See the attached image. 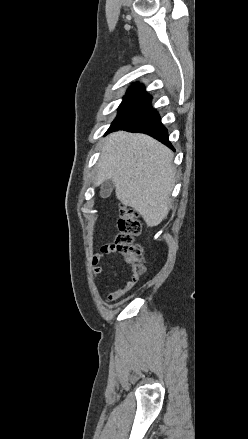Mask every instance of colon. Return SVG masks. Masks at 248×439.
Returning a JSON list of instances; mask_svg holds the SVG:
<instances>
[{
	"label": "colon",
	"instance_id": "obj_1",
	"mask_svg": "<svg viewBox=\"0 0 248 439\" xmlns=\"http://www.w3.org/2000/svg\"><path fill=\"white\" fill-rule=\"evenodd\" d=\"M119 234L116 237L115 248L125 262L131 266L135 276L139 277L145 269L143 250L135 237L141 231L138 214L132 207L121 205L118 220Z\"/></svg>",
	"mask_w": 248,
	"mask_h": 439
}]
</instances>
